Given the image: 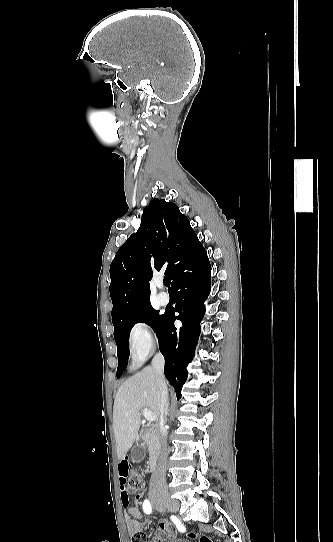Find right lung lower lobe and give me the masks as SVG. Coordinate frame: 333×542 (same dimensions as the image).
<instances>
[{
  "label": "right lung lower lobe",
  "instance_id": "right-lung-lower-lobe-1",
  "mask_svg": "<svg viewBox=\"0 0 333 542\" xmlns=\"http://www.w3.org/2000/svg\"><path fill=\"white\" fill-rule=\"evenodd\" d=\"M175 262L171 286L177 303L175 309L166 310L156 333L165 358V376L179 399L187 377L186 366L193 358L200 334L204 302L210 293L211 267L207 252L199 240L180 250ZM175 312L179 315L175 316ZM176 319L182 322V327L174 326Z\"/></svg>",
  "mask_w": 333,
  "mask_h": 542
}]
</instances>
